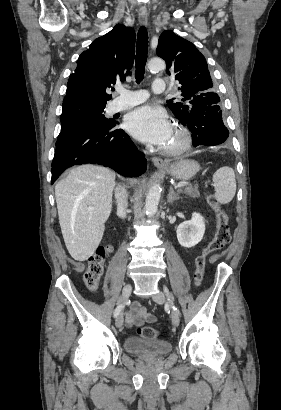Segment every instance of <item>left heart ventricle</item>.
Instances as JSON below:
<instances>
[{"instance_id":"obj_1","label":"left heart ventricle","mask_w":281,"mask_h":410,"mask_svg":"<svg viewBox=\"0 0 281 410\" xmlns=\"http://www.w3.org/2000/svg\"><path fill=\"white\" fill-rule=\"evenodd\" d=\"M179 142V137L177 136V134L172 131V134L169 138V140L166 142V144L163 145V147L165 148H172L174 146H176Z\"/></svg>"}]
</instances>
